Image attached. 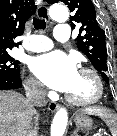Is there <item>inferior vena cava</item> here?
<instances>
[{"instance_id": "602c4592", "label": "inferior vena cava", "mask_w": 117, "mask_h": 136, "mask_svg": "<svg viewBox=\"0 0 117 136\" xmlns=\"http://www.w3.org/2000/svg\"><path fill=\"white\" fill-rule=\"evenodd\" d=\"M27 101L37 107H44L47 105L46 90L39 83H32L30 89L26 93ZM36 136L35 127H30L29 135Z\"/></svg>"}]
</instances>
